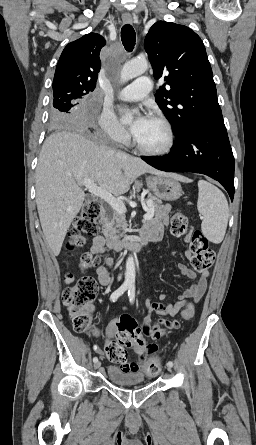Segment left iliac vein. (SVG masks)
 Wrapping results in <instances>:
<instances>
[{
  "mask_svg": "<svg viewBox=\"0 0 256 445\" xmlns=\"http://www.w3.org/2000/svg\"><path fill=\"white\" fill-rule=\"evenodd\" d=\"M167 369H168L169 371H171V367H170V366H167Z\"/></svg>",
  "mask_w": 256,
  "mask_h": 445,
  "instance_id": "obj_1",
  "label": "left iliac vein"
}]
</instances>
